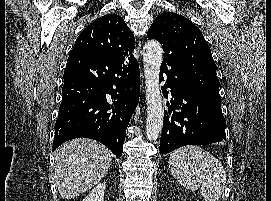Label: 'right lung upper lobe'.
<instances>
[{"mask_svg": "<svg viewBox=\"0 0 271 201\" xmlns=\"http://www.w3.org/2000/svg\"><path fill=\"white\" fill-rule=\"evenodd\" d=\"M135 39L123 18L104 15L88 25L78 36L72 52H91L126 63L135 60Z\"/></svg>", "mask_w": 271, "mask_h": 201, "instance_id": "obj_1", "label": "right lung upper lobe"}]
</instances>
